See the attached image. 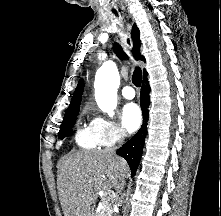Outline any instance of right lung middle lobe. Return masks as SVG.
I'll list each match as a JSON object with an SVG mask.
<instances>
[{
	"instance_id": "right-lung-middle-lobe-1",
	"label": "right lung middle lobe",
	"mask_w": 221,
	"mask_h": 216,
	"mask_svg": "<svg viewBox=\"0 0 221 216\" xmlns=\"http://www.w3.org/2000/svg\"><path fill=\"white\" fill-rule=\"evenodd\" d=\"M79 112L72 113L70 115L64 116L63 122L60 126V130L58 133V137L60 139H63L66 137L69 133V130L74 126L76 117Z\"/></svg>"
}]
</instances>
